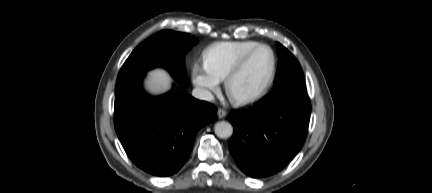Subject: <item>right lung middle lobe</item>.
Listing matches in <instances>:
<instances>
[{
    "mask_svg": "<svg viewBox=\"0 0 432 193\" xmlns=\"http://www.w3.org/2000/svg\"><path fill=\"white\" fill-rule=\"evenodd\" d=\"M196 43V38L190 34L162 30L131 53L120 70L118 81L154 67L166 68L175 80H182L184 55Z\"/></svg>",
    "mask_w": 432,
    "mask_h": 193,
    "instance_id": "1",
    "label": "right lung middle lobe"
}]
</instances>
